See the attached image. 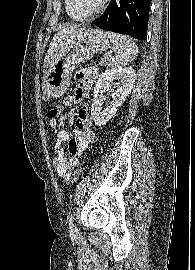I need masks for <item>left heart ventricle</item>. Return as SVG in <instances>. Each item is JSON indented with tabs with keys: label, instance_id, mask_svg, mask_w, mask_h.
Instances as JSON below:
<instances>
[{
	"label": "left heart ventricle",
	"instance_id": "obj_1",
	"mask_svg": "<svg viewBox=\"0 0 195 270\" xmlns=\"http://www.w3.org/2000/svg\"><path fill=\"white\" fill-rule=\"evenodd\" d=\"M101 0H75L77 7L83 12L93 10Z\"/></svg>",
	"mask_w": 195,
	"mask_h": 270
}]
</instances>
